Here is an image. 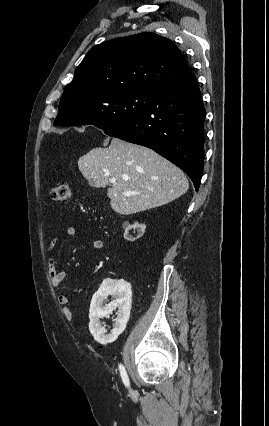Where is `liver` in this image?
I'll use <instances>...</instances> for the list:
<instances>
[{
    "label": "liver",
    "instance_id": "6515ba94",
    "mask_svg": "<svg viewBox=\"0 0 269 426\" xmlns=\"http://www.w3.org/2000/svg\"><path fill=\"white\" fill-rule=\"evenodd\" d=\"M92 187L110 186L112 209L122 215L159 207L185 194L188 180L181 169L153 150L113 138L109 147L94 148L78 160ZM116 179L110 184V179ZM131 191V196L123 192Z\"/></svg>",
    "mask_w": 269,
    "mask_h": 426
}]
</instances>
